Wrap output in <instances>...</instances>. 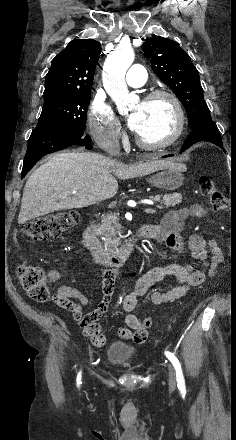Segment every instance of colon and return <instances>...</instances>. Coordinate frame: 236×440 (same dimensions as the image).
Instances as JSON below:
<instances>
[{
  "instance_id": "colon-1",
  "label": "colon",
  "mask_w": 236,
  "mask_h": 440,
  "mask_svg": "<svg viewBox=\"0 0 236 440\" xmlns=\"http://www.w3.org/2000/svg\"><path fill=\"white\" fill-rule=\"evenodd\" d=\"M199 189L206 196L211 207L216 212H226L231 215L234 209L228 204L226 196L215 185L213 180L208 176H200L198 179ZM79 220V213L76 210H64L42 217L35 218L20 228V233L24 237L37 242L52 237H56L61 233L71 229ZM18 280L22 288L29 296L40 303L47 302L50 298L48 290V278L45 272L38 266L24 263L17 269ZM143 325L148 330L152 326V319H144ZM147 338V337H146ZM135 341H144L145 339H134Z\"/></svg>"
}]
</instances>
